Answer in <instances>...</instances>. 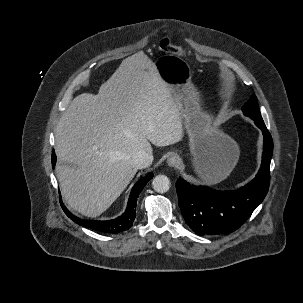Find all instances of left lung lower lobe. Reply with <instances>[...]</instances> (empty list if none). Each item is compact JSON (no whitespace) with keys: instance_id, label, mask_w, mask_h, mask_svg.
Wrapping results in <instances>:
<instances>
[{"instance_id":"0a47b994","label":"left lung lower lobe","mask_w":303,"mask_h":303,"mask_svg":"<svg viewBox=\"0 0 303 303\" xmlns=\"http://www.w3.org/2000/svg\"><path fill=\"white\" fill-rule=\"evenodd\" d=\"M255 121V120H254ZM264 147L261 167L255 178L235 191H217L206 186H192L179 178L176 183L178 204L186 224L199 235L230 233L241 227L265 198L270 184L273 141L264 123Z\"/></svg>"}]
</instances>
